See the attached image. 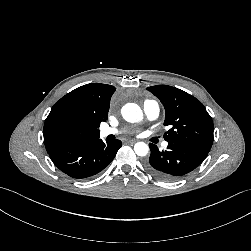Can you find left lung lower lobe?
I'll return each mask as SVG.
<instances>
[{
	"instance_id": "left-lung-lower-lobe-1",
	"label": "left lung lower lobe",
	"mask_w": 251,
	"mask_h": 251,
	"mask_svg": "<svg viewBox=\"0 0 251 251\" xmlns=\"http://www.w3.org/2000/svg\"><path fill=\"white\" fill-rule=\"evenodd\" d=\"M151 155L146 163L147 170L164 181H174L194 170L206 158L209 151L183 143H168L167 150L149 144Z\"/></svg>"
}]
</instances>
